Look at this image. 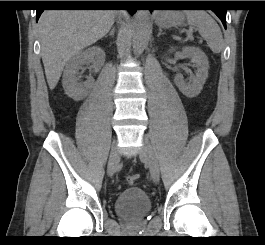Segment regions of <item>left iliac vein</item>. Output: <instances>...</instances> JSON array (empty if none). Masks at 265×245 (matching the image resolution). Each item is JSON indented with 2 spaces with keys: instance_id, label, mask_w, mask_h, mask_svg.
<instances>
[{
  "instance_id": "left-iliac-vein-1",
  "label": "left iliac vein",
  "mask_w": 265,
  "mask_h": 245,
  "mask_svg": "<svg viewBox=\"0 0 265 245\" xmlns=\"http://www.w3.org/2000/svg\"><path fill=\"white\" fill-rule=\"evenodd\" d=\"M139 156L148 163L152 180L158 182L160 177L158 160L150 141L146 137L143 138V146Z\"/></svg>"
}]
</instances>
